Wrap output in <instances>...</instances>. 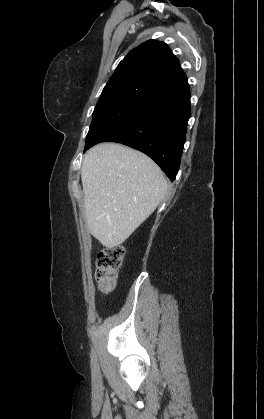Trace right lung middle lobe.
<instances>
[{
    "label": "right lung middle lobe",
    "mask_w": 264,
    "mask_h": 419,
    "mask_svg": "<svg viewBox=\"0 0 264 419\" xmlns=\"http://www.w3.org/2000/svg\"><path fill=\"white\" fill-rule=\"evenodd\" d=\"M152 97L149 92L128 85L104 88L93 112L84 152L121 127Z\"/></svg>",
    "instance_id": "right-lung-middle-lobe-1"
}]
</instances>
